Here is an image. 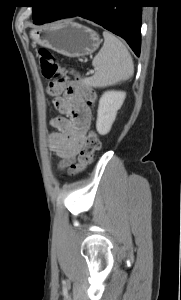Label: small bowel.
<instances>
[{"mask_svg":"<svg viewBox=\"0 0 181 300\" xmlns=\"http://www.w3.org/2000/svg\"><path fill=\"white\" fill-rule=\"evenodd\" d=\"M54 106L64 115L51 120L56 131L50 135L49 143L64 167L74 161L82 147L91 112L77 95L58 96L54 99Z\"/></svg>","mask_w":181,"mask_h":300,"instance_id":"c3829d8e","label":"small bowel"}]
</instances>
